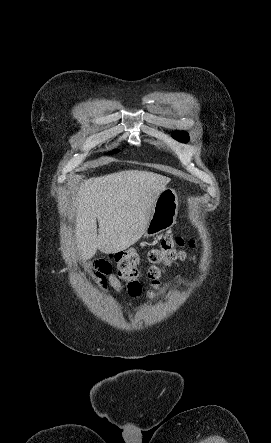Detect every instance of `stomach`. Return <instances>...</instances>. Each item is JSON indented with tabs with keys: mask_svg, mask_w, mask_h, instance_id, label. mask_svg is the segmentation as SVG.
Segmentation results:
<instances>
[{
	"mask_svg": "<svg viewBox=\"0 0 271 443\" xmlns=\"http://www.w3.org/2000/svg\"><path fill=\"white\" fill-rule=\"evenodd\" d=\"M179 202L177 192L172 188H166L160 192L154 206L147 227L143 233L144 237H151L166 229H171L176 222Z\"/></svg>",
	"mask_w": 271,
	"mask_h": 443,
	"instance_id": "stomach-1",
	"label": "stomach"
}]
</instances>
